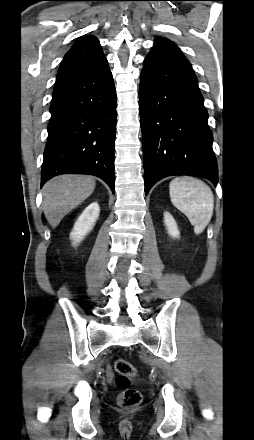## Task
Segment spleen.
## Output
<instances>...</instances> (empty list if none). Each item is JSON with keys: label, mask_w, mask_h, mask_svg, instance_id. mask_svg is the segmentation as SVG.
<instances>
[{"label": "spleen", "mask_w": 254, "mask_h": 440, "mask_svg": "<svg viewBox=\"0 0 254 440\" xmlns=\"http://www.w3.org/2000/svg\"><path fill=\"white\" fill-rule=\"evenodd\" d=\"M169 193L173 205L184 213L194 232L200 234L211 220L214 196L211 188L194 177H177L170 182Z\"/></svg>", "instance_id": "3e777b00"}]
</instances>
